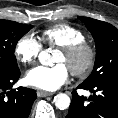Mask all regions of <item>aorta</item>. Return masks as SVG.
<instances>
[{"label":"aorta","mask_w":118,"mask_h":118,"mask_svg":"<svg viewBox=\"0 0 118 118\" xmlns=\"http://www.w3.org/2000/svg\"><path fill=\"white\" fill-rule=\"evenodd\" d=\"M39 61L43 65H47L51 62V55L49 51H43L39 54ZM56 108L60 110H65L70 106V97L65 93H59L54 97L53 100Z\"/></svg>","instance_id":"762f6f07"}]
</instances>
